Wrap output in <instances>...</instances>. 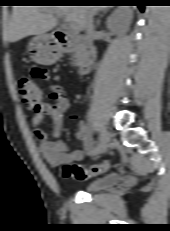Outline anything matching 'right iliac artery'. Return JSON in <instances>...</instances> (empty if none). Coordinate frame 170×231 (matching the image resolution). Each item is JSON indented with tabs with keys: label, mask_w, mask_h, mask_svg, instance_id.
<instances>
[{
	"label": "right iliac artery",
	"mask_w": 170,
	"mask_h": 231,
	"mask_svg": "<svg viewBox=\"0 0 170 231\" xmlns=\"http://www.w3.org/2000/svg\"><path fill=\"white\" fill-rule=\"evenodd\" d=\"M98 152H99V145H98V147H97L96 151L93 153V155L98 154Z\"/></svg>",
	"instance_id": "1"
}]
</instances>
